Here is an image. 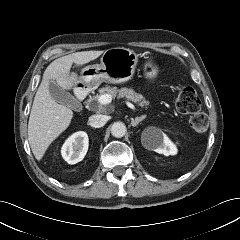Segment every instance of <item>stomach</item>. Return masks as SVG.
Segmentation results:
<instances>
[{
	"label": "stomach",
	"mask_w": 240,
	"mask_h": 240,
	"mask_svg": "<svg viewBox=\"0 0 240 240\" xmlns=\"http://www.w3.org/2000/svg\"><path fill=\"white\" fill-rule=\"evenodd\" d=\"M138 63V55L127 48L107 49L100 64L84 67L81 71V84L89 90L96 89L101 83L119 84L128 81L134 75ZM160 72V68L154 61H148L144 66V75L148 79H154Z\"/></svg>",
	"instance_id": "stomach-1"
}]
</instances>
